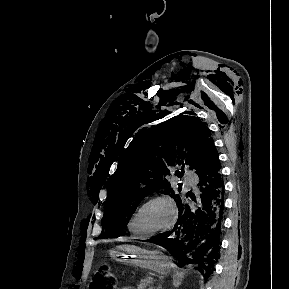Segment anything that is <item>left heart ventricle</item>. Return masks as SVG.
<instances>
[{
    "label": "left heart ventricle",
    "instance_id": "left-heart-ventricle-1",
    "mask_svg": "<svg viewBox=\"0 0 289 289\" xmlns=\"http://www.w3.org/2000/svg\"><path fill=\"white\" fill-rule=\"evenodd\" d=\"M170 217V209L165 203L152 202L139 214L136 227L145 233L153 232L166 226Z\"/></svg>",
    "mask_w": 289,
    "mask_h": 289
}]
</instances>
